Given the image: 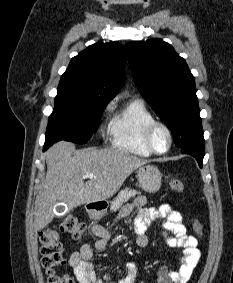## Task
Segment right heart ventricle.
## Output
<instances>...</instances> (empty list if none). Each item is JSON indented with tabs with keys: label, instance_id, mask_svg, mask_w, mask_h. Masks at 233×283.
Listing matches in <instances>:
<instances>
[{
	"label": "right heart ventricle",
	"instance_id": "1",
	"mask_svg": "<svg viewBox=\"0 0 233 283\" xmlns=\"http://www.w3.org/2000/svg\"><path fill=\"white\" fill-rule=\"evenodd\" d=\"M154 120L153 114L142 101L128 102L110 121L109 135L112 146L132 155L150 156L152 153L143 142V131Z\"/></svg>",
	"mask_w": 233,
	"mask_h": 283
}]
</instances>
